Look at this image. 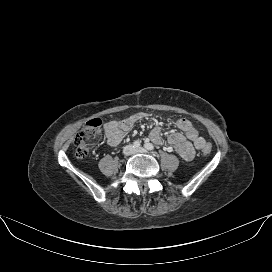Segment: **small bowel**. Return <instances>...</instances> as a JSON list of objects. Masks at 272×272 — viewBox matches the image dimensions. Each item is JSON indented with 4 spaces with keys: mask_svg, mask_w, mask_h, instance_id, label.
I'll use <instances>...</instances> for the list:
<instances>
[{
    "mask_svg": "<svg viewBox=\"0 0 272 272\" xmlns=\"http://www.w3.org/2000/svg\"><path fill=\"white\" fill-rule=\"evenodd\" d=\"M147 117V114L140 112L123 119L107 122L104 125V131L108 144L112 147L117 146L137 121ZM176 125L178 131L167 136V150H174L182 159L189 161L193 159L195 149H202L205 146L206 140L199 134L195 126L185 118L179 119ZM150 139L157 144L162 142V133L158 126L150 132Z\"/></svg>",
    "mask_w": 272,
    "mask_h": 272,
    "instance_id": "c3829d8e",
    "label": "small bowel"
}]
</instances>
